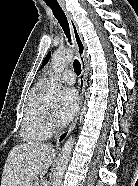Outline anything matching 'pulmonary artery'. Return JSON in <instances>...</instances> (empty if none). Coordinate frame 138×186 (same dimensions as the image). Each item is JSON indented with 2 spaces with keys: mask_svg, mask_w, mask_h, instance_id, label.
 Listing matches in <instances>:
<instances>
[{
  "mask_svg": "<svg viewBox=\"0 0 138 186\" xmlns=\"http://www.w3.org/2000/svg\"><path fill=\"white\" fill-rule=\"evenodd\" d=\"M60 79L62 82L67 83V84H73L75 82V75L71 71H64L60 75Z\"/></svg>",
  "mask_w": 138,
  "mask_h": 186,
  "instance_id": "e3ab8cb5",
  "label": "pulmonary artery"
}]
</instances>
